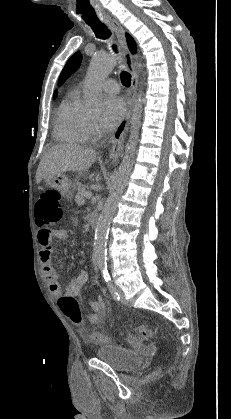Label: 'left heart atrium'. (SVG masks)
<instances>
[{"label": "left heart atrium", "instance_id": "obj_1", "mask_svg": "<svg viewBox=\"0 0 231 419\" xmlns=\"http://www.w3.org/2000/svg\"><path fill=\"white\" fill-rule=\"evenodd\" d=\"M124 101L119 97H109L104 102L102 115L99 119L100 127L105 131L115 128L125 115Z\"/></svg>", "mask_w": 231, "mask_h": 419}]
</instances>
